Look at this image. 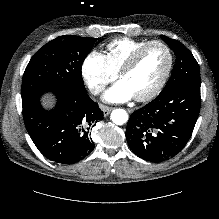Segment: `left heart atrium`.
<instances>
[{"mask_svg":"<svg viewBox=\"0 0 219 219\" xmlns=\"http://www.w3.org/2000/svg\"><path fill=\"white\" fill-rule=\"evenodd\" d=\"M134 94L125 81L119 80L111 86L105 93L103 98L107 102L120 103L134 98Z\"/></svg>","mask_w":219,"mask_h":219,"instance_id":"39dd6f15","label":"left heart atrium"}]
</instances>
